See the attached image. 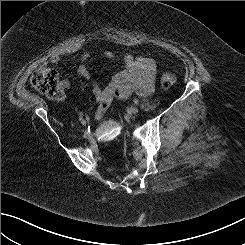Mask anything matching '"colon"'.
<instances>
[{"label": "colon", "instance_id": "5ec220e1", "mask_svg": "<svg viewBox=\"0 0 245 245\" xmlns=\"http://www.w3.org/2000/svg\"><path fill=\"white\" fill-rule=\"evenodd\" d=\"M160 80L163 87L169 88L175 84L176 75L171 71H165L161 74ZM30 84L51 99H59L63 95L57 73L50 67L42 66L37 69L30 77Z\"/></svg>", "mask_w": 245, "mask_h": 245}]
</instances>
